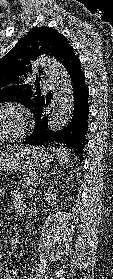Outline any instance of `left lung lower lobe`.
I'll return each instance as SVG.
<instances>
[{"label": "left lung lower lobe", "instance_id": "left-lung-lower-lobe-1", "mask_svg": "<svg viewBox=\"0 0 113 279\" xmlns=\"http://www.w3.org/2000/svg\"><path fill=\"white\" fill-rule=\"evenodd\" d=\"M62 64L70 75L74 90V110L72 119L64 129L51 131L48 129V116L43 114V108L50 102L49 96H44L39 105H35L33 115L35 127L32 135L24 143L35 146L55 144L74 150L82 160L85 147V134L88 130L89 114L88 89L85 85V75L81 70L80 60L71 49Z\"/></svg>", "mask_w": 113, "mask_h": 279}]
</instances>
